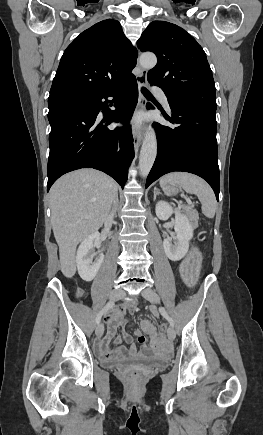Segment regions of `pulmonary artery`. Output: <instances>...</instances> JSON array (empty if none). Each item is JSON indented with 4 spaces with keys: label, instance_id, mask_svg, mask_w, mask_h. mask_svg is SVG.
Returning a JSON list of instances; mask_svg holds the SVG:
<instances>
[{
    "label": "pulmonary artery",
    "instance_id": "pulmonary-artery-1",
    "mask_svg": "<svg viewBox=\"0 0 263 435\" xmlns=\"http://www.w3.org/2000/svg\"><path fill=\"white\" fill-rule=\"evenodd\" d=\"M153 91L159 95L161 103L163 104V106L169 110L170 106H169V102L168 99L165 95V93L163 92V90L159 87H154Z\"/></svg>",
    "mask_w": 263,
    "mask_h": 435
}]
</instances>
